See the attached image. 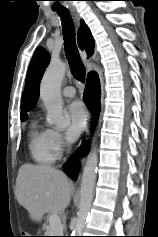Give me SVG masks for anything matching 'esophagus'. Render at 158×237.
Masks as SVG:
<instances>
[{"label": "esophagus", "mask_w": 158, "mask_h": 237, "mask_svg": "<svg viewBox=\"0 0 158 237\" xmlns=\"http://www.w3.org/2000/svg\"><path fill=\"white\" fill-rule=\"evenodd\" d=\"M72 12L75 13L74 10H72ZM80 55H81V58H82L85 66H86L87 72H90L91 71L90 59L88 58V55H87L86 51L85 50H80ZM91 118H92L91 112H90V110H88V124L85 128V131H84L85 140H87L89 135H90Z\"/></svg>", "instance_id": "esophagus-1"}]
</instances>
